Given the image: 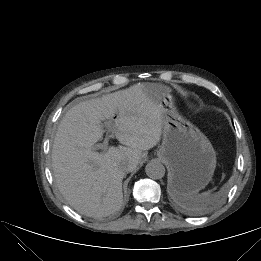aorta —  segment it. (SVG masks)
<instances>
[{"label":"aorta","instance_id":"1","mask_svg":"<svg viewBox=\"0 0 261 261\" xmlns=\"http://www.w3.org/2000/svg\"><path fill=\"white\" fill-rule=\"evenodd\" d=\"M145 172L148 177L158 180L164 177L165 167L158 161H151L146 165Z\"/></svg>","mask_w":261,"mask_h":261}]
</instances>
